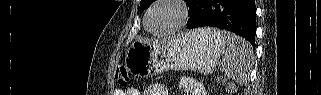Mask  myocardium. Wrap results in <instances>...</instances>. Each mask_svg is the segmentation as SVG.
Here are the masks:
<instances>
[{"instance_id": "f54148a6", "label": "myocardium", "mask_w": 321, "mask_h": 95, "mask_svg": "<svg viewBox=\"0 0 321 95\" xmlns=\"http://www.w3.org/2000/svg\"><path fill=\"white\" fill-rule=\"evenodd\" d=\"M162 4L174 5L178 9L179 18H178L177 22L173 26H171L170 28L160 31V32L153 31L148 26L149 17L151 15V12L155 8H157L158 6H160ZM188 19H189V10H188V7H187L185 1H183V0H156L146 10L143 25H144V28L149 33H151L155 36H164V35H170V34H173L177 31H179L187 23Z\"/></svg>"}]
</instances>
